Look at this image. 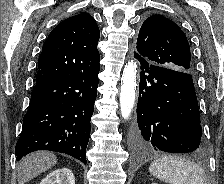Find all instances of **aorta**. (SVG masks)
Segmentation results:
<instances>
[{
  "mask_svg": "<svg viewBox=\"0 0 224 184\" xmlns=\"http://www.w3.org/2000/svg\"><path fill=\"white\" fill-rule=\"evenodd\" d=\"M136 74V63L128 62L123 69L120 90V110L124 119H128L134 107L137 86Z\"/></svg>",
  "mask_w": 224,
  "mask_h": 184,
  "instance_id": "762f6f07",
  "label": "aorta"
}]
</instances>
